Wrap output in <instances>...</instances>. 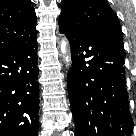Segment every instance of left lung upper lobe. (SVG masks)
I'll list each match as a JSON object with an SVG mask.
<instances>
[{
	"label": "left lung upper lobe",
	"mask_w": 136,
	"mask_h": 136,
	"mask_svg": "<svg viewBox=\"0 0 136 136\" xmlns=\"http://www.w3.org/2000/svg\"><path fill=\"white\" fill-rule=\"evenodd\" d=\"M59 25L75 30L110 32L122 39L118 17L105 0H63Z\"/></svg>",
	"instance_id": "5c2ea615"
}]
</instances>
